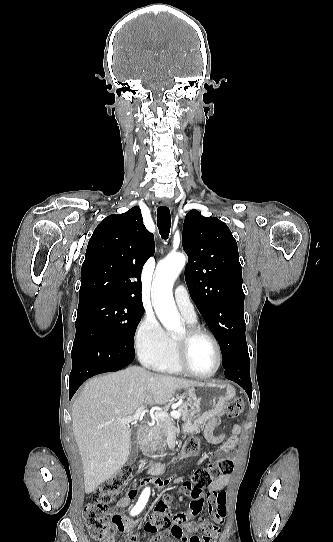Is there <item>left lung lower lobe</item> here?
I'll use <instances>...</instances> for the list:
<instances>
[{
	"label": "left lung lower lobe",
	"mask_w": 333,
	"mask_h": 542,
	"mask_svg": "<svg viewBox=\"0 0 333 542\" xmlns=\"http://www.w3.org/2000/svg\"><path fill=\"white\" fill-rule=\"evenodd\" d=\"M224 375L239 384L248 394L249 399L252 397V384L250 379V359L248 349L239 353L231 363L224 368Z\"/></svg>",
	"instance_id": "obj_1"
}]
</instances>
